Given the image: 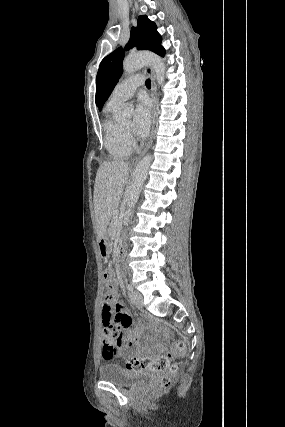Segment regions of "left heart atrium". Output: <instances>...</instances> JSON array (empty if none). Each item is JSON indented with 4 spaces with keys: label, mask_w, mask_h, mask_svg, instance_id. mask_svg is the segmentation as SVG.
<instances>
[{
    "label": "left heart atrium",
    "mask_w": 285,
    "mask_h": 427,
    "mask_svg": "<svg viewBox=\"0 0 285 427\" xmlns=\"http://www.w3.org/2000/svg\"><path fill=\"white\" fill-rule=\"evenodd\" d=\"M151 123L150 105L146 99L140 98L135 106L134 132L138 137L147 135Z\"/></svg>",
    "instance_id": "obj_1"
}]
</instances>
